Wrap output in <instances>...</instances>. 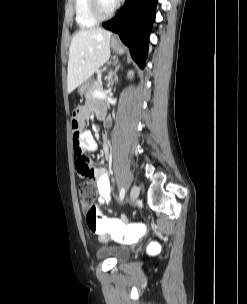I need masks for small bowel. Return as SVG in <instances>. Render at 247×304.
I'll return each mask as SVG.
<instances>
[{
	"mask_svg": "<svg viewBox=\"0 0 247 304\" xmlns=\"http://www.w3.org/2000/svg\"><path fill=\"white\" fill-rule=\"evenodd\" d=\"M94 110L97 112L98 110L105 111L104 105L100 102L90 103L81 108H75L74 112H72V119H80V120H71V130L73 134L71 135L73 151L75 156V165L78 173L82 177H90L93 178L96 182V189L98 192V202L100 204H110L111 203V185L108 173L106 169L101 167H94L90 160L86 157L87 151L93 152L97 149L96 141L89 131H84V121L88 116L90 110ZM110 145L106 141L104 144V152L105 154L109 153ZM76 152V153H75ZM87 158V166L86 168H81L78 165V159Z\"/></svg>",
	"mask_w": 247,
	"mask_h": 304,
	"instance_id": "obj_1",
	"label": "small bowel"
}]
</instances>
